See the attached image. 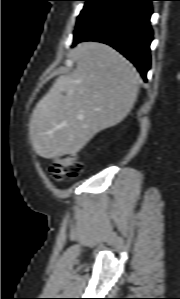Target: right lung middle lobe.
Here are the masks:
<instances>
[{
	"mask_svg": "<svg viewBox=\"0 0 180 299\" xmlns=\"http://www.w3.org/2000/svg\"><path fill=\"white\" fill-rule=\"evenodd\" d=\"M85 1V5L83 10L81 11L77 23L90 15L94 10H96L101 4H103L106 0H82Z\"/></svg>",
	"mask_w": 180,
	"mask_h": 299,
	"instance_id": "obj_1",
	"label": "right lung middle lobe"
}]
</instances>
